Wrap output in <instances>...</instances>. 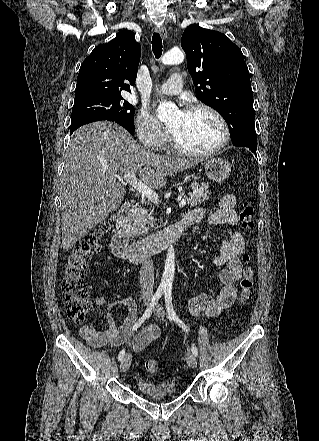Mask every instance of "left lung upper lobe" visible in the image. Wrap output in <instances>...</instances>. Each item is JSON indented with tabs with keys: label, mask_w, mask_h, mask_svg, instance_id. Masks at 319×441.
Here are the masks:
<instances>
[{
	"label": "left lung upper lobe",
	"mask_w": 319,
	"mask_h": 441,
	"mask_svg": "<svg viewBox=\"0 0 319 441\" xmlns=\"http://www.w3.org/2000/svg\"><path fill=\"white\" fill-rule=\"evenodd\" d=\"M196 96L227 122L233 145L257 148L253 96L240 48L218 31L188 26L181 38Z\"/></svg>",
	"instance_id": "left-lung-upper-lobe-1"
}]
</instances>
